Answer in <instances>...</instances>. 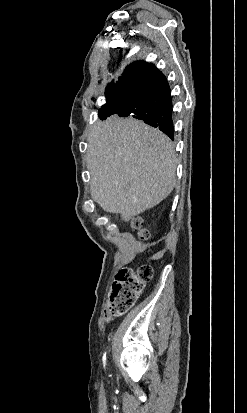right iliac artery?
<instances>
[{
  "mask_svg": "<svg viewBox=\"0 0 247 413\" xmlns=\"http://www.w3.org/2000/svg\"><path fill=\"white\" fill-rule=\"evenodd\" d=\"M105 360H106V353L103 356V362H104V366H105Z\"/></svg>",
  "mask_w": 247,
  "mask_h": 413,
  "instance_id": "obj_1",
  "label": "right iliac artery"
}]
</instances>
